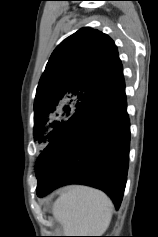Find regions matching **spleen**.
I'll return each instance as SVG.
<instances>
[{
    "mask_svg": "<svg viewBox=\"0 0 158 237\" xmlns=\"http://www.w3.org/2000/svg\"><path fill=\"white\" fill-rule=\"evenodd\" d=\"M113 203L103 192L71 186L55 201L53 215L66 236H101L108 228Z\"/></svg>",
    "mask_w": 158,
    "mask_h": 237,
    "instance_id": "spleen-1",
    "label": "spleen"
}]
</instances>
